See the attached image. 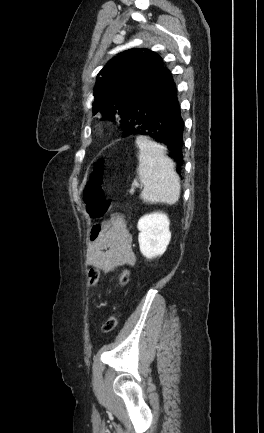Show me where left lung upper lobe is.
Returning a JSON list of instances; mask_svg holds the SVG:
<instances>
[{
    "label": "left lung upper lobe",
    "mask_w": 264,
    "mask_h": 433,
    "mask_svg": "<svg viewBox=\"0 0 264 433\" xmlns=\"http://www.w3.org/2000/svg\"><path fill=\"white\" fill-rule=\"evenodd\" d=\"M164 70L162 58L148 49L119 53L99 72L94 88L93 114L102 119L121 118L139 94ZM123 130V136L125 131Z\"/></svg>",
    "instance_id": "obj_1"
}]
</instances>
